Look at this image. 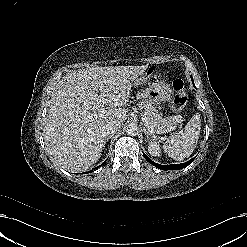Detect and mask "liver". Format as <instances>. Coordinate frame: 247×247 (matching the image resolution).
Listing matches in <instances>:
<instances>
[{
	"mask_svg": "<svg viewBox=\"0 0 247 247\" xmlns=\"http://www.w3.org/2000/svg\"><path fill=\"white\" fill-rule=\"evenodd\" d=\"M147 67L95 66L62 77L43 120L50 160L71 172H81L95 164L101 157L104 126L126 119L127 111L121 106L128 103L133 81ZM104 105L109 107L101 115ZM92 113L97 116L89 119Z\"/></svg>",
	"mask_w": 247,
	"mask_h": 247,
	"instance_id": "6515ba94",
	"label": "liver"
}]
</instances>
